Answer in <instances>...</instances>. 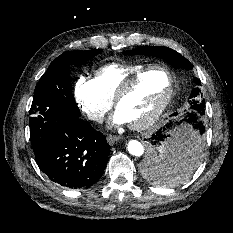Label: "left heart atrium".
Returning a JSON list of instances; mask_svg holds the SVG:
<instances>
[{
    "instance_id": "39dd6f15",
    "label": "left heart atrium",
    "mask_w": 233,
    "mask_h": 233,
    "mask_svg": "<svg viewBox=\"0 0 233 233\" xmlns=\"http://www.w3.org/2000/svg\"><path fill=\"white\" fill-rule=\"evenodd\" d=\"M113 124H124L127 122L125 117L118 111L115 113L113 119H112Z\"/></svg>"
}]
</instances>
